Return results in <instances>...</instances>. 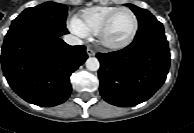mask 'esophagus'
I'll use <instances>...</instances> for the list:
<instances>
[{
    "label": "esophagus",
    "mask_w": 194,
    "mask_h": 133,
    "mask_svg": "<svg viewBox=\"0 0 194 133\" xmlns=\"http://www.w3.org/2000/svg\"><path fill=\"white\" fill-rule=\"evenodd\" d=\"M87 54H88V56H94L95 53L92 49L87 48Z\"/></svg>",
    "instance_id": "obj_1"
}]
</instances>
